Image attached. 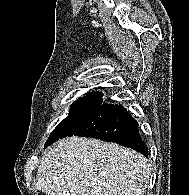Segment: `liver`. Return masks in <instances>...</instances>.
I'll return each instance as SVG.
<instances>
[{
	"mask_svg": "<svg viewBox=\"0 0 189 195\" xmlns=\"http://www.w3.org/2000/svg\"><path fill=\"white\" fill-rule=\"evenodd\" d=\"M149 176L139 152L74 136L44 155L35 186L47 195H143Z\"/></svg>",
	"mask_w": 189,
	"mask_h": 195,
	"instance_id": "1",
	"label": "liver"
}]
</instances>
